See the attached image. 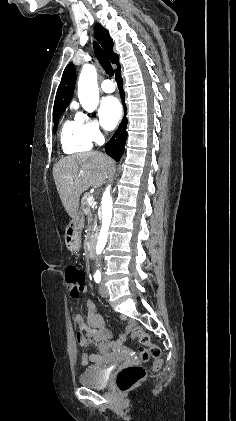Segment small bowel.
Instances as JSON below:
<instances>
[{"label": "small bowel", "instance_id": "obj_1", "mask_svg": "<svg viewBox=\"0 0 236 421\" xmlns=\"http://www.w3.org/2000/svg\"><path fill=\"white\" fill-rule=\"evenodd\" d=\"M86 306L89 310V317H88V322H89V325H90L89 329H102L103 320L98 314H96L93 303L87 302ZM76 321H77V324H78L79 327L84 324L83 318L80 315L76 316ZM81 356H82V363L87 364L88 363L87 354L83 351L81 353ZM89 359L92 360L91 357Z\"/></svg>", "mask_w": 236, "mask_h": 421}]
</instances>
